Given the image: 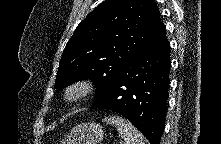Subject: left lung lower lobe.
<instances>
[{
  "label": "left lung lower lobe",
  "instance_id": "1",
  "mask_svg": "<svg viewBox=\"0 0 221 144\" xmlns=\"http://www.w3.org/2000/svg\"><path fill=\"white\" fill-rule=\"evenodd\" d=\"M170 66V45L162 23L91 109L122 114L151 144H160L165 127Z\"/></svg>",
  "mask_w": 221,
  "mask_h": 144
}]
</instances>
